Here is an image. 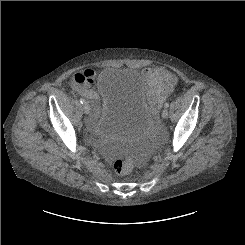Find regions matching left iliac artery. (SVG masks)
<instances>
[{
    "label": "left iliac artery",
    "instance_id": "1",
    "mask_svg": "<svg viewBox=\"0 0 245 245\" xmlns=\"http://www.w3.org/2000/svg\"><path fill=\"white\" fill-rule=\"evenodd\" d=\"M169 107V103H165V108H168Z\"/></svg>",
    "mask_w": 245,
    "mask_h": 245
}]
</instances>
